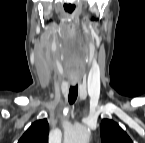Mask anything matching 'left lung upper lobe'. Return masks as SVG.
Instances as JSON below:
<instances>
[{
	"label": "left lung upper lobe",
	"instance_id": "left-lung-upper-lobe-1",
	"mask_svg": "<svg viewBox=\"0 0 145 143\" xmlns=\"http://www.w3.org/2000/svg\"><path fill=\"white\" fill-rule=\"evenodd\" d=\"M102 143H132L127 133L114 121L103 119L100 126Z\"/></svg>",
	"mask_w": 145,
	"mask_h": 143
}]
</instances>
